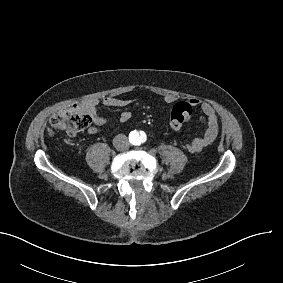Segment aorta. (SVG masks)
<instances>
[{"mask_svg": "<svg viewBox=\"0 0 283 283\" xmlns=\"http://www.w3.org/2000/svg\"><path fill=\"white\" fill-rule=\"evenodd\" d=\"M131 143L138 145L143 141V134L138 131H132L130 133Z\"/></svg>", "mask_w": 283, "mask_h": 283, "instance_id": "aorta-1", "label": "aorta"}]
</instances>
